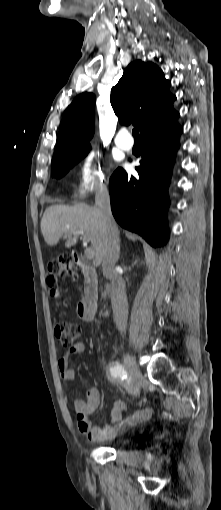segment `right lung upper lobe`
I'll return each mask as SVG.
<instances>
[{
	"label": "right lung upper lobe",
	"instance_id": "right-lung-upper-lobe-1",
	"mask_svg": "<svg viewBox=\"0 0 221 510\" xmlns=\"http://www.w3.org/2000/svg\"><path fill=\"white\" fill-rule=\"evenodd\" d=\"M170 86L162 70L152 62L130 63L111 90L110 101L119 122L139 124L143 134L179 117L173 107L176 96L169 92ZM94 103L93 94L83 93L67 107L53 159L72 149L90 146L89 140L94 134Z\"/></svg>",
	"mask_w": 221,
	"mask_h": 510
}]
</instances>
